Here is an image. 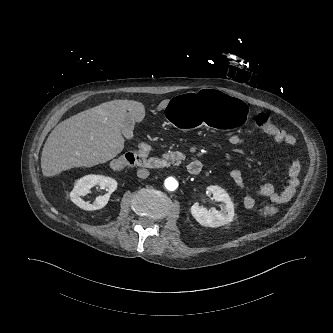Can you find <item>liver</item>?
Instances as JSON below:
<instances>
[{
	"label": "liver",
	"instance_id": "1",
	"mask_svg": "<svg viewBox=\"0 0 333 333\" xmlns=\"http://www.w3.org/2000/svg\"><path fill=\"white\" fill-rule=\"evenodd\" d=\"M168 102L169 99L161 101L157 110L165 109ZM127 114L141 122L145 107L134 100H112L60 122L43 147V175L50 177L74 167H92L113 159L124 148L121 127Z\"/></svg>",
	"mask_w": 333,
	"mask_h": 333
}]
</instances>
